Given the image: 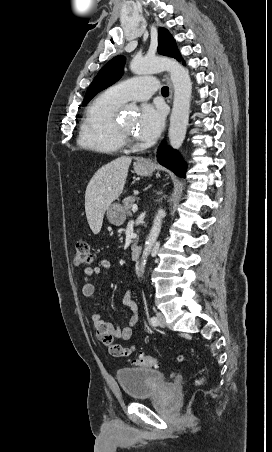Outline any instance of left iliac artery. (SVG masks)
<instances>
[{"instance_id": "left-iliac-artery-1", "label": "left iliac artery", "mask_w": 272, "mask_h": 452, "mask_svg": "<svg viewBox=\"0 0 272 452\" xmlns=\"http://www.w3.org/2000/svg\"><path fill=\"white\" fill-rule=\"evenodd\" d=\"M150 323L153 325V326H157L158 325V319L156 318V317H151L150 318Z\"/></svg>"}]
</instances>
